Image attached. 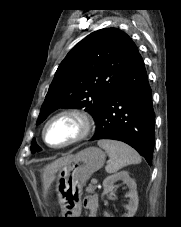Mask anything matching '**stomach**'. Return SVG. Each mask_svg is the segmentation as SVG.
Listing matches in <instances>:
<instances>
[{"mask_svg": "<svg viewBox=\"0 0 181 227\" xmlns=\"http://www.w3.org/2000/svg\"><path fill=\"white\" fill-rule=\"evenodd\" d=\"M105 153L97 147L86 148L74 155L57 176L56 193L64 217H74L81 208L83 186L105 163Z\"/></svg>", "mask_w": 181, "mask_h": 227, "instance_id": "1", "label": "stomach"}]
</instances>
